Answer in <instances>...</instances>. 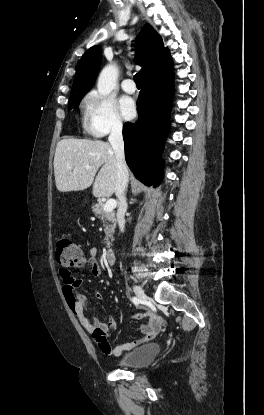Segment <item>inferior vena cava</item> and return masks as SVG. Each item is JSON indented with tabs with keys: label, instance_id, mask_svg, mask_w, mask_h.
Listing matches in <instances>:
<instances>
[{
	"label": "inferior vena cava",
	"instance_id": "inferior-vena-cava-1",
	"mask_svg": "<svg viewBox=\"0 0 264 415\" xmlns=\"http://www.w3.org/2000/svg\"><path fill=\"white\" fill-rule=\"evenodd\" d=\"M109 142L115 153L116 157V184H115V194L119 199V207L117 211V221L119 229L121 232H124L125 228V212L127 210L126 202V189L128 185V168L125 161L124 155V142L122 136V124L116 122L109 136Z\"/></svg>",
	"mask_w": 264,
	"mask_h": 415
}]
</instances>
